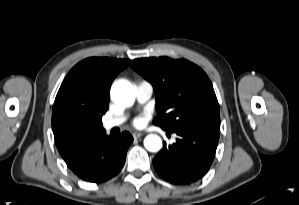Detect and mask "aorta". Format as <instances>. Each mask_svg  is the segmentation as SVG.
Returning <instances> with one entry per match:
<instances>
[{"label":"aorta","mask_w":299,"mask_h":205,"mask_svg":"<svg viewBox=\"0 0 299 205\" xmlns=\"http://www.w3.org/2000/svg\"><path fill=\"white\" fill-rule=\"evenodd\" d=\"M135 97L133 85L126 80L118 81L111 87V98L120 105L131 106ZM144 146L150 152H157L162 148V140L159 136L151 134L145 137Z\"/></svg>","instance_id":"762f6f07"}]
</instances>
